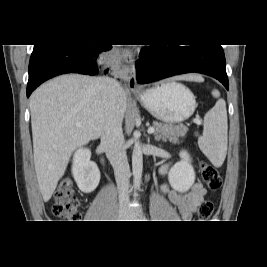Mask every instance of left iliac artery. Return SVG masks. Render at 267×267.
I'll list each match as a JSON object with an SVG mask.
<instances>
[{"label": "left iliac artery", "mask_w": 267, "mask_h": 267, "mask_svg": "<svg viewBox=\"0 0 267 267\" xmlns=\"http://www.w3.org/2000/svg\"><path fill=\"white\" fill-rule=\"evenodd\" d=\"M146 218H145V216H143V220H145Z\"/></svg>", "instance_id": "obj_1"}]
</instances>
